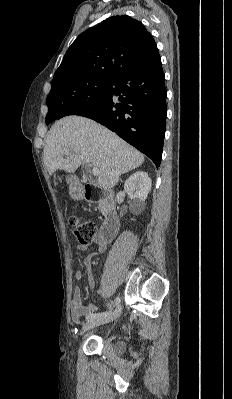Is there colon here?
Instances as JSON below:
<instances>
[{
	"label": "colon",
	"mask_w": 232,
	"mask_h": 399,
	"mask_svg": "<svg viewBox=\"0 0 232 399\" xmlns=\"http://www.w3.org/2000/svg\"><path fill=\"white\" fill-rule=\"evenodd\" d=\"M68 228H74L72 235L77 236L79 244H92L95 232L94 222H79V220L73 219V215H68Z\"/></svg>",
	"instance_id": "obj_1"
}]
</instances>
